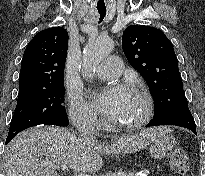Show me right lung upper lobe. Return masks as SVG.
Instances as JSON below:
<instances>
[{
    "instance_id": "obj_1",
    "label": "right lung upper lobe",
    "mask_w": 205,
    "mask_h": 176,
    "mask_svg": "<svg viewBox=\"0 0 205 176\" xmlns=\"http://www.w3.org/2000/svg\"><path fill=\"white\" fill-rule=\"evenodd\" d=\"M67 48L68 33L64 28L38 32L23 55L19 94L64 84Z\"/></svg>"
}]
</instances>
